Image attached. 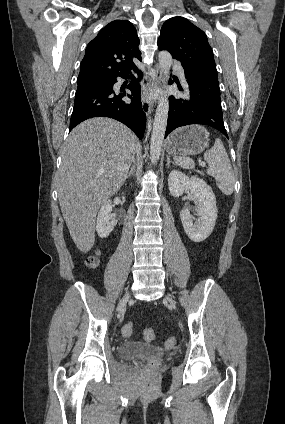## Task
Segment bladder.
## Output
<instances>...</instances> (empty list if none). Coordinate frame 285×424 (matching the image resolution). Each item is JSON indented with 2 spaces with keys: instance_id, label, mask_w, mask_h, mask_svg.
<instances>
[{
  "instance_id": "31cf9c89",
  "label": "bladder",
  "mask_w": 285,
  "mask_h": 424,
  "mask_svg": "<svg viewBox=\"0 0 285 424\" xmlns=\"http://www.w3.org/2000/svg\"><path fill=\"white\" fill-rule=\"evenodd\" d=\"M162 350L154 345L126 341L119 347V354L124 358H145L162 354Z\"/></svg>"
}]
</instances>
